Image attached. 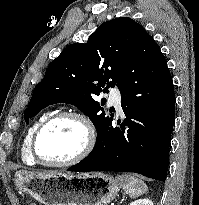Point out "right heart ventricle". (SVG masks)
I'll use <instances>...</instances> for the list:
<instances>
[{
  "mask_svg": "<svg viewBox=\"0 0 199 205\" xmlns=\"http://www.w3.org/2000/svg\"><path fill=\"white\" fill-rule=\"evenodd\" d=\"M52 114L51 111H46L42 113L35 122L29 127L27 130L23 142L20 148V155L23 162L27 165H35L36 161L33 159L31 152H30V142L31 138L36 131V129Z\"/></svg>",
  "mask_w": 199,
  "mask_h": 205,
  "instance_id": "obj_1",
  "label": "right heart ventricle"
}]
</instances>
